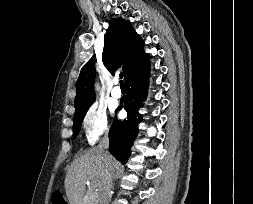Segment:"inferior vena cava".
Listing matches in <instances>:
<instances>
[{
  "instance_id": "inferior-vena-cava-1",
  "label": "inferior vena cava",
  "mask_w": 253,
  "mask_h": 204,
  "mask_svg": "<svg viewBox=\"0 0 253 204\" xmlns=\"http://www.w3.org/2000/svg\"><path fill=\"white\" fill-rule=\"evenodd\" d=\"M108 148H109V139L108 136H104L98 145V149L103 153L105 161V173L101 180L98 193L99 204H108L110 191L113 187L114 166L113 161L109 153L107 152Z\"/></svg>"
}]
</instances>
